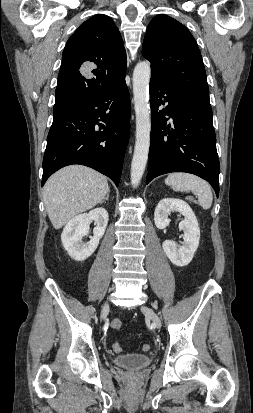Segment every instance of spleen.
Returning a JSON list of instances; mask_svg holds the SVG:
<instances>
[{
	"label": "spleen",
	"instance_id": "3e777b00",
	"mask_svg": "<svg viewBox=\"0 0 253 413\" xmlns=\"http://www.w3.org/2000/svg\"><path fill=\"white\" fill-rule=\"evenodd\" d=\"M165 183L175 191H191L198 197L200 206L207 210L211 207L213 194L210 185L205 180L193 174L176 172L165 179Z\"/></svg>",
	"mask_w": 253,
	"mask_h": 413
}]
</instances>
